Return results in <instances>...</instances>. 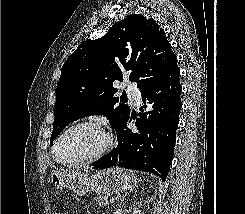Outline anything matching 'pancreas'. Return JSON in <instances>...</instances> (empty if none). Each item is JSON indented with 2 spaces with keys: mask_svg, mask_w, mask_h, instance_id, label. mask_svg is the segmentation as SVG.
<instances>
[{
  "mask_svg": "<svg viewBox=\"0 0 245 214\" xmlns=\"http://www.w3.org/2000/svg\"><path fill=\"white\" fill-rule=\"evenodd\" d=\"M96 202L98 205L100 206H105L109 204V197L107 194H99L96 198H95Z\"/></svg>",
  "mask_w": 245,
  "mask_h": 214,
  "instance_id": "obj_1",
  "label": "pancreas"
}]
</instances>
